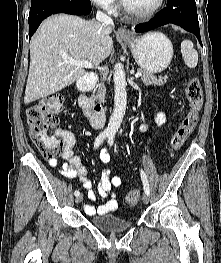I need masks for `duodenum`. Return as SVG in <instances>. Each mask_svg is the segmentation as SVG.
<instances>
[{
    "mask_svg": "<svg viewBox=\"0 0 221 263\" xmlns=\"http://www.w3.org/2000/svg\"><path fill=\"white\" fill-rule=\"evenodd\" d=\"M96 82L97 76L94 73H86L79 80L78 86L81 94L78 97V104L84 114L91 119L93 126L95 128H100L105 121L103 108L100 104H95L88 96V92L95 87Z\"/></svg>",
    "mask_w": 221,
    "mask_h": 263,
    "instance_id": "1",
    "label": "duodenum"
}]
</instances>
